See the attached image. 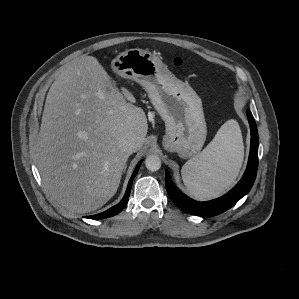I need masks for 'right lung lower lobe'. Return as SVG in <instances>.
<instances>
[{"label":"right lung lower lobe","instance_id":"98d812e1","mask_svg":"<svg viewBox=\"0 0 299 299\" xmlns=\"http://www.w3.org/2000/svg\"><path fill=\"white\" fill-rule=\"evenodd\" d=\"M141 163L142 162H140L136 166V168H135V170H134V172H133V174L131 176V179H130V181L128 183L126 193H125L123 199L121 200V202L118 205H116V206L108 209L105 212H102V213L96 214V215H92V216H88L86 218H90V219L96 220V219H103V218L111 217V216H114V215L118 214L125 207V205L127 204V201L129 199V196H130V191H131V186H132L133 178L136 176V174H137V172H138V170L140 168Z\"/></svg>","mask_w":299,"mask_h":299}]
</instances>
